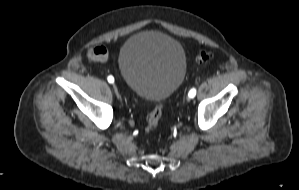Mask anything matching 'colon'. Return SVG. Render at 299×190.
<instances>
[{
    "mask_svg": "<svg viewBox=\"0 0 299 190\" xmlns=\"http://www.w3.org/2000/svg\"><path fill=\"white\" fill-rule=\"evenodd\" d=\"M211 58V53L206 50H202L197 54L196 57V62L201 64L204 62H207ZM164 109V104L159 103L156 106L153 107V109L150 111L148 118H147V123H146V132L147 133H153L158 126V123L162 117Z\"/></svg>",
    "mask_w": 299,
    "mask_h": 190,
    "instance_id": "colon-1",
    "label": "colon"
}]
</instances>
